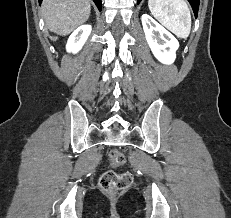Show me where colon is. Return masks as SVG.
<instances>
[{"instance_id":"1","label":"colon","mask_w":231,"mask_h":218,"mask_svg":"<svg viewBox=\"0 0 231 218\" xmlns=\"http://www.w3.org/2000/svg\"><path fill=\"white\" fill-rule=\"evenodd\" d=\"M108 159L112 167H119L125 163L124 154L117 149H113L109 152ZM131 183L132 176L128 172L117 174L113 171H106L99 179L101 190L108 194H117L130 186Z\"/></svg>"}]
</instances>
